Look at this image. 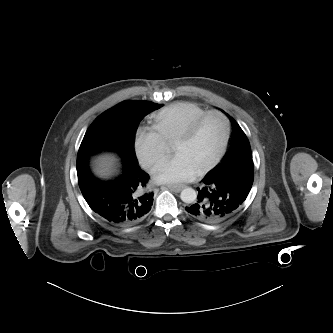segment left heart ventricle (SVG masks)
<instances>
[{
	"mask_svg": "<svg viewBox=\"0 0 333 333\" xmlns=\"http://www.w3.org/2000/svg\"><path fill=\"white\" fill-rule=\"evenodd\" d=\"M225 135V124L221 117L211 115L199 126L194 136L187 141H176L173 151L183 155L198 171L218 154Z\"/></svg>",
	"mask_w": 333,
	"mask_h": 333,
	"instance_id": "b2bd125f",
	"label": "left heart ventricle"
}]
</instances>
